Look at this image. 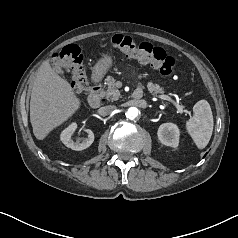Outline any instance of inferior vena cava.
I'll return each mask as SVG.
<instances>
[{"mask_svg": "<svg viewBox=\"0 0 238 238\" xmlns=\"http://www.w3.org/2000/svg\"><path fill=\"white\" fill-rule=\"evenodd\" d=\"M116 109L115 105H107L101 108L103 114L108 115L111 114Z\"/></svg>", "mask_w": 238, "mask_h": 238, "instance_id": "obj_1", "label": "inferior vena cava"}]
</instances>
